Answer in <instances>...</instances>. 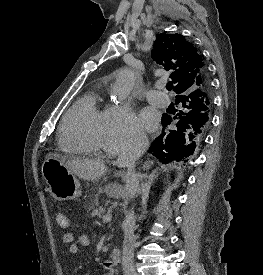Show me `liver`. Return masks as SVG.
Returning <instances> with one entry per match:
<instances>
[{
	"instance_id": "obj_1",
	"label": "liver",
	"mask_w": 263,
	"mask_h": 275,
	"mask_svg": "<svg viewBox=\"0 0 263 275\" xmlns=\"http://www.w3.org/2000/svg\"><path fill=\"white\" fill-rule=\"evenodd\" d=\"M47 157H53L60 160L70 172L87 181L99 180L106 171L105 163L100 159H67L65 156L54 153L48 154ZM127 194V185L124 188L122 186H113L108 191L109 197L113 198H118Z\"/></svg>"
}]
</instances>
